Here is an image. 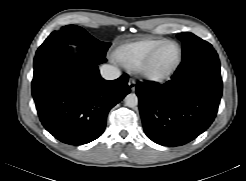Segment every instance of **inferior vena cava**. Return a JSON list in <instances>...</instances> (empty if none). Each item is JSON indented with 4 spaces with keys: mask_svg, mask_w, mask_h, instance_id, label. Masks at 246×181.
<instances>
[{
    "mask_svg": "<svg viewBox=\"0 0 246 181\" xmlns=\"http://www.w3.org/2000/svg\"><path fill=\"white\" fill-rule=\"evenodd\" d=\"M101 76L106 80H114L120 77L121 73L115 66L104 64L100 67Z\"/></svg>",
    "mask_w": 246,
    "mask_h": 181,
    "instance_id": "obj_1",
    "label": "inferior vena cava"
}]
</instances>
